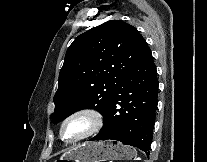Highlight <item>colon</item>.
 <instances>
[{"instance_id": "5ec220e1", "label": "colon", "mask_w": 207, "mask_h": 162, "mask_svg": "<svg viewBox=\"0 0 207 162\" xmlns=\"http://www.w3.org/2000/svg\"><path fill=\"white\" fill-rule=\"evenodd\" d=\"M58 162H68V161H58Z\"/></svg>"}]
</instances>
